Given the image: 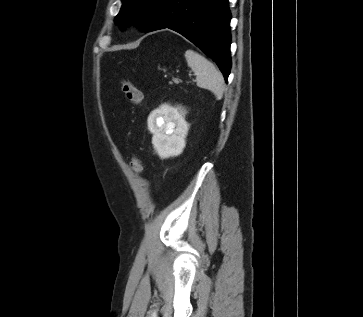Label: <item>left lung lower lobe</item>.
Returning <instances> with one entry per match:
<instances>
[{"label":"left lung lower lobe","mask_w":363,"mask_h":317,"mask_svg":"<svg viewBox=\"0 0 363 317\" xmlns=\"http://www.w3.org/2000/svg\"><path fill=\"white\" fill-rule=\"evenodd\" d=\"M230 19L228 0H160L146 32L169 28L180 33L217 63L227 81Z\"/></svg>","instance_id":"left-lung-lower-lobe-1"}]
</instances>
